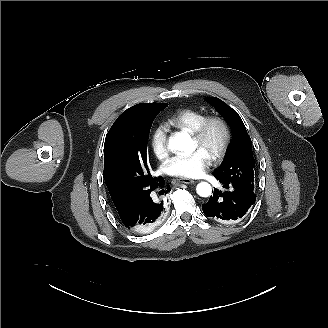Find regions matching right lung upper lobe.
Segmentation results:
<instances>
[{"mask_svg": "<svg viewBox=\"0 0 328 328\" xmlns=\"http://www.w3.org/2000/svg\"><path fill=\"white\" fill-rule=\"evenodd\" d=\"M160 104H166V103H160ZM111 198L113 200V203L115 204V207L119 213L120 218L125 220L127 217H129L136 203L122 200L115 195H111Z\"/></svg>", "mask_w": 328, "mask_h": 328, "instance_id": "obj_1", "label": "right lung upper lobe"}]
</instances>
